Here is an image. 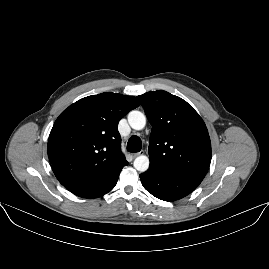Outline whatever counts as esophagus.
Wrapping results in <instances>:
<instances>
[{"instance_id": "34e87169", "label": "esophagus", "mask_w": 269, "mask_h": 269, "mask_svg": "<svg viewBox=\"0 0 269 269\" xmlns=\"http://www.w3.org/2000/svg\"><path fill=\"white\" fill-rule=\"evenodd\" d=\"M140 154H141V152H136V153H132L131 155L133 158H135V157L139 156Z\"/></svg>"}]
</instances>
